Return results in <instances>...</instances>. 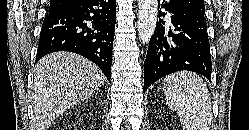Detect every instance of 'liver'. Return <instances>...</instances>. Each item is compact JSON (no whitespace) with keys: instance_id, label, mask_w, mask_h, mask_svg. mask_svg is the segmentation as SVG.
<instances>
[{"instance_id":"1","label":"liver","mask_w":249,"mask_h":130,"mask_svg":"<svg viewBox=\"0 0 249 130\" xmlns=\"http://www.w3.org/2000/svg\"><path fill=\"white\" fill-rule=\"evenodd\" d=\"M34 74L32 100L37 130H47L66 110L96 93L106 79L94 63L70 52L44 56Z\"/></svg>"}]
</instances>
